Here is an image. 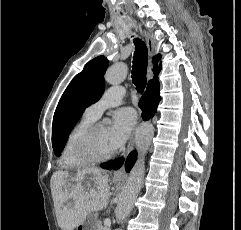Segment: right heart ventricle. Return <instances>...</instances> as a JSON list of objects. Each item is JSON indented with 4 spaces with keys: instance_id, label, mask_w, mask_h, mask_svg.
Returning <instances> with one entry per match:
<instances>
[{
    "instance_id": "right-heart-ventricle-1",
    "label": "right heart ventricle",
    "mask_w": 241,
    "mask_h": 230,
    "mask_svg": "<svg viewBox=\"0 0 241 230\" xmlns=\"http://www.w3.org/2000/svg\"><path fill=\"white\" fill-rule=\"evenodd\" d=\"M95 120V118L84 113L69 131L61 153V163L64 167L75 168L87 164L78 158L76 154V144L81 134L94 123Z\"/></svg>"
}]
</instances>
